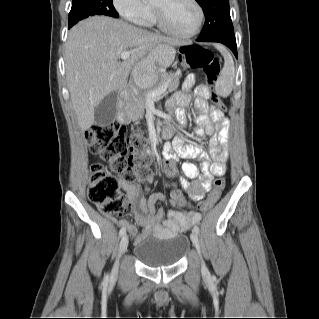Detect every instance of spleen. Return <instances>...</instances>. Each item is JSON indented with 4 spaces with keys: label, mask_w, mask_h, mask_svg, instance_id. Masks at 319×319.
Instances as JSON below:
<instances>
[{
    "label": "spleen",
    "mask_w": 319,
    "mask_h": 319,
    "mask_svg": "<svg viewBox=\"0 0 319 319\" xmlns=\"http://www.w3.org/2000/svg\"><path fill=\"white\" fill-rule=\"evenodd\" d=\"M216 48L224 57V67L216 81L215 91L219 96L228 97L231 94L234 85V62L232 56L225 47L217 45Z\"/></svg>",
    "instance_id": "3e777b00"
}]
</instances>
